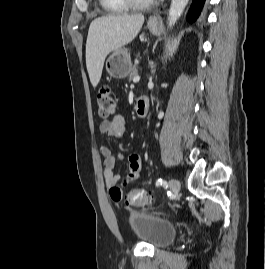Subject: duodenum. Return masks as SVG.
I'll use <instances>...</instances> for the list:
<instances>
[{
    "mask_svg": "<svg viewBox=\"0 0 265 269\" xmlns=\"http://www.w3.org/2000/svg\"><path fill=\"white\" fill-rule=\"evenodd\" d=\"M149 111V99L146 96H140L136 103V114L142 118L147 115Z\"/></svg>",
    "mask_w": 265,
    "mask_h": 269,
    "instance_id": "duodenum-1",
    "label": "duodenum"
}]
</instances>
